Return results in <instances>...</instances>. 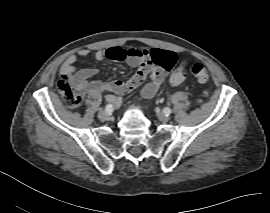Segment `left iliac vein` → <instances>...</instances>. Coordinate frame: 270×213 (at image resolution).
Masks as SVG:
<instances>
[{"instance_id":"obj_1","label":"left iliac vein","mask_w":270,"mask_h":213,"mask_svg":"<svg viewBox=\"0 0 270 213\" xmlns=\"http://www.w3.org/2000/svg\"><path fill=\"white\" fill-rule=\"evenodd\" d=\"M157 116L162 122H168L170 119L169 116H167L165 113L160 112V111L157 112Z\"/></svg>"}]
</instances>
